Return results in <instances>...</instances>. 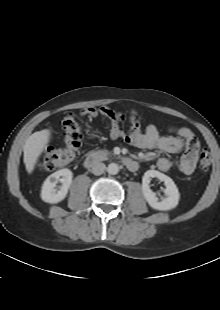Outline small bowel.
Returning a JSON list of instances; mask_svg holds the SVG:
<instances>
[{
  "mask_svg": "<svg viewBox=\"0 0 220 310\" xmlns=\"http://www.w3.org/2000/svg\"><path fill=\"white\" fill-rule=\"evenodd\" d=\"M105 116L110 120V137L122 138L128 144L139 149H157L166 153H178L183 151L179 163V170L185 175H191L197 165L199 142L188 128L174 130L173 135L162 136L156 125L150 124L145 131L139 125H133L130 131L125 132L119 125L117 114L107 107H88L80 111L81 117ZM136 115V112H132ZM157 166L162 171L171 168V161L165 157L159 158Z\"/></svg>",
  "mask_w": 220,
  "mask_h": 310,
  "instance_id": "obj_1",
  "label": "small bowel"
}]
</instances>
